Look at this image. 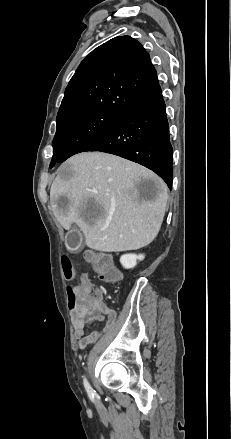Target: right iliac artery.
Masks as SVG:
<instances>
[{
    "mask_svg": "<svg viewBox=\"0 0 231 439\" xmlns=\"http://www.w3.org/2000/svg\"><path fill=\"white\" fill-rule=\"evenodd\" d=\"M84 386H85V389H86V391H87V393H88V396H89L91 399H93V398H94L95 391H94L93 388L90 386L89 382L87 381V379H86L85 377H84Z\"/></svg>",
    "mask_w": 231,
    "mask_h": 439,
    "instance_id": "obj_1",
    "label": "right iliac artery"
}]
</instances>
